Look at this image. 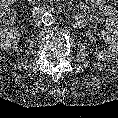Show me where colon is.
<instances>
[{
	"label": "colon",
	"mask_w": 118,
	"mask_h": 118,
	"mask_svg": "<svg viewBox=\"0 0 118 118\" xmlns=\"http://www.w3.org/2000/svg\"><path fill=\"white\" fill-rule=\"evenodd\" d=\"M15 14L12 10L0 6V27L13 24Z\"/></svg>",
	"instance_id": "obj_1"
}]
</instances>
